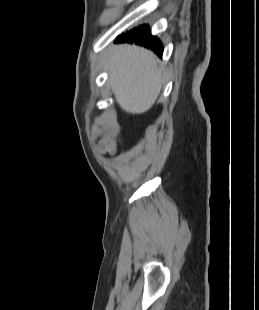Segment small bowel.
I'll return each mask as SVG.
<instances>
[{"label": "small bowel", "mask_w": 259, "mask_h": 310, "mask_svg": "<svg viewBox=\"0 0 259 310\" xmlns=\"http://www.w3.org/2000/svg\"><path fill=\"white\" fill-rule=\"evenodd\" d=\"M114 148H115V145L113 142L107 139H103L100 141L97 147V151L98 153L104 154V153L113 151Z\"/></svg>", "instance_id": "obj_1"}]
</instances>
